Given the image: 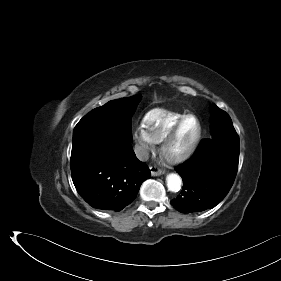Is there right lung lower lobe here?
<instances>
[{
  "label": "right lung lower lobe",
  "instance_id": "right-lung-lower-lobe-1",
  "mask_svg": "<svg viewBox=\"0 0 281 281\" xmlns=\"http://www.w3.org/2000/svg\"><path fill=\"white\" fill-rule=\"evenodd\" d=\"M71 174L76 190L93 208L120 211L151 176L129 140L116 136L72 146Z\"/></svg>",
  "mask_w": 281,
  "mask_h": 281
}]
</instances>
